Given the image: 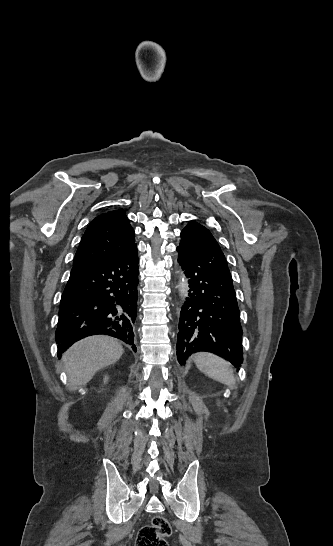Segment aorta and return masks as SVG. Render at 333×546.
<instances>
[{
  "label": "aorta",
  "mask_w": 333,
  "mask_h": 546,
  "mask_svg": "<svg viewBox=\"0 0 333 546\" xmlns=\"http://www.w3.org/2000/svg\"><path fill=\"white\" fill-rule=\"evenodd\" d=\"M179 286H180L181 296H184L186 294V292H187V290H186V287H187L186 281L184 279H182V281H180Z\"/></svg>",
  "instance_id": "762f6f07"
}]
</instances>
